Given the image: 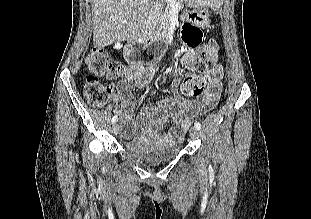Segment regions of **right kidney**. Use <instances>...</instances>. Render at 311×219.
I'll return each mask as SVG.
<instances>
[{
	"instance_id": "obj_1",
	"label": "right kidney",
	"mask_w": 311,
	"mask_h": 219,
	"mask_svg": "<svg viewBox=\"0 0 311 219\" xmlns=\"http://www.w3.org/2000/svg\"><path fill=\"white\" fill-rule=\"evenodd\" d=\"M114 48L117 50H120L122 48V44L117 43V44H115Z\"/></svg>"
}]
</instances>
